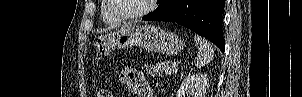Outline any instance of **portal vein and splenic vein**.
<instances>
[{
  "instance_id": "1",
  "label": "portal vein and splenic vein",
  "mask_w": 302,
  "mask_h": 97,
  "mask_svg": "<svg viewBox=\"0 0 302 97\" xmlns=\"http://www.w3.org/2000/svg\"><path fill=\"white\" fill-rule=\"evenodd\" d=\"M172 67L173 68L177 67V62L172 63Z\"/></svg>"
}]
</instances>
